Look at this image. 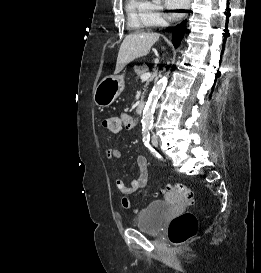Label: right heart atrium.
I'll list each match as a JSON object with an SVG mask.
<instances>
[{
	"mask_svg": "<svg viewBox=\"0 0 261 273\" xmlns=\"http://www.w3.org/2000/svg\"><path fill=\"white\" fill-rule=\"evenodd\" d=\"M151 15L155 25H162L166 20V15L159 5L151 4Z\"/></svg>",
	"mask_w": 261,
	"mask_h": 273,
	"instance_id": "d8ad5b80",
	"label": "right heart atrium"
}]
</instances>
